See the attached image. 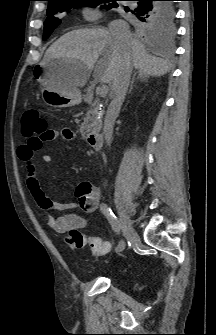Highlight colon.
<instances>
[{
	"mask_svg": "<svg viewBox=\"0 0 216 335\" xmlns=\"http://www.w3.org/2000/svg\"><path fill=\"white\" fill-rule=\"evenodd\" d=\"M48 123L35 108L27 109L22 116V134L28 139L32 151L42 147L48 135ZM67 244L73 249L89 247L93 255L105 254L108 248L100 238L87 237L77 229L69 231L66 237Z\"/></svg>",
	"mask_w": 216,
	"mask_h": 335,
	"instance_id": "1",
	"label": "colon"
}]
</instances>
